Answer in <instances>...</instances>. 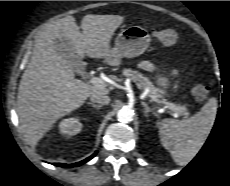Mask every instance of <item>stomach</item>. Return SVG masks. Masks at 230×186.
Listing matches in <instances>:
<instances>
[{"label":"stomach","instance_id":"0dacf381","mask_svg":"<svg viewBox=\"0 0 230 186\" xmlns=\"http://www.w3.org/2000/svg\"><path fill=\"white\" fill-rule=\"evenodd\" d=\"M150 35L140 26H130L121 31L115 40V46L109 50L105 61L113 66L121 62V58H133L141 55L148 48ZM156 82L159 86V94L163 98L171 85L170 79L163 75L156 76Z\"/></svg>","mask_w":230,"mask_h":186}]
</instances>
